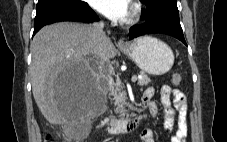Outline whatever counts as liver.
<instances>
[{
  "label": "liver",
  "mask_w": 227,
  "mask_h": 142,
  "mask_svg": "<svg viewBox=\"0 0 227 142\" xmlns=\"http://www.w3.org/2000/svg\"><path fill=\"white\" fill-rule=\"evenodd\" d=\"M32 92L41 113L51 124H68L79 117L78 102L89 81L99 86L93 59L105 66L116 55L109 38L96 43L88 24L56 23L43 27L31 42ZM92 57V58H91ZM65 68H78L80 78H56Z\"/></svg>",
  "instance_id": "6515ba94"
}]
</instances>
